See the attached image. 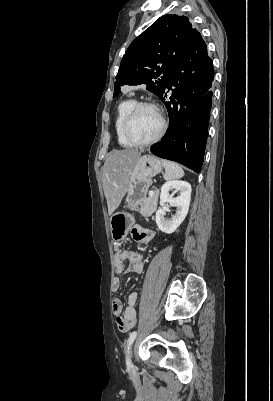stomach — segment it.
I'll use <instances>...</instances> for the list:
<instances>
[{
	"label": "stomach",
	"mask_w": 273,
	"mask_h": 401,
	"mask_svg": "<svg viewBox=\"0 0 273 401\" xmlns=\"http://www.w3.org/2000/svg\"><path fill=\"white\" fill-rule=\"evenodd\" d=\"M162 170V162L156 156L144 154L136 162L134 168L129 172V186L125 203L130 211H137L139 205L144 203L152 176L159 174ZM135 219L130 213H114L110 217L111 237L113 241L126 239Z\"/></svg>",
	"instance_id": "obj_1"
}]
</instances>
